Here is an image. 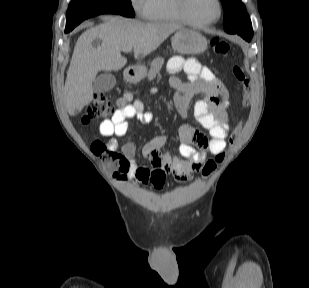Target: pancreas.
<instances>
[{
	"label": "pancreas",
	"mask_w": 309,
	"mask_h": 288,
	"mask_svg": "<svg viewBox=\"0 0 309 288\" xmlns=\"http://www.w3.org/2000/svg\"><path fill=\"white\" fill-rule=\"evenodd\" d=\"M163 63L164 59L162 57H157L151 62V67L147 75L148 80H153L156 77L161 70Z\"/></svg>",
	"instance_id": "cf45deb5"
}]
</instances>
